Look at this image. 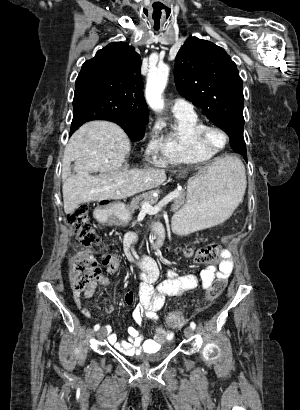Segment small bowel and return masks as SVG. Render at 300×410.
<instances>
[{
    "instance_id": "obj_1",
    "label": "small bowel",
    "mask_w": 300,
    "mask_h": 410,
    "mask_svg": "<svg viewBox=\"0 0 300 410\" xmlns=\"http://www.w3.org/2000/svg\"><path fill=\"white\" fill-rule=\"evenodd\" d=\"M126 243L128 246H131L134 243V237L130 236ZM82 252L83 251H80L79 253ZM131 259L141 270L138 290L139 302L132 312L133 320L137 326H129L127 328L128 341L119 340L109 325L103 327L109 343L119 352L126 355L153 352L162 343L173 337L172 331L163 326H157L155 328L154 337L150 339L145 338L138 328V326L143 324L145 317L153 320L157 319V312L163 308L167 297H177L197 288L206 290L215 280L223 279L227 282L234 269L231 253L227 250H222L220 252L219 262L217 264L208 265L200 272L199 276L189 273L178 274L169 271L166 278L156 284L159 278V269L156 263L146 255H139L137 259L131 255ZM108 285L109 279L105 276H99L88 285L83 292V296L85 298H91L95 295L99 286ZM73 299L76 306L81 310V313L86 318H89L91 316V309L82 307L81 293L74 291ZM133 300L134 296L132 292H128L124 297L126 305H131ZM112 310L113 306H110L108 311Z\"/></svg>"
}]
</instances>
